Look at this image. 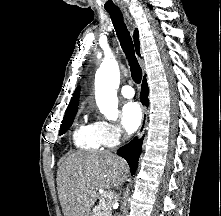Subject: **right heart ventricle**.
<instances>
[{"label":"right heart ventricle","mask_w":221,"mask_h":216,"mask_svg":"<svg viewBox=\"0 0 221 216\" xmlns=\"http://www.w3.org/2000/svg\"><path fill=\"white\" fill-rule=\"evenodd\" d=\"M72 140L77 148L83 150H98L102 146L95 123L81 122L74 130Z\"/></svg>","instance_id":"obj_1"}]
</instances>
